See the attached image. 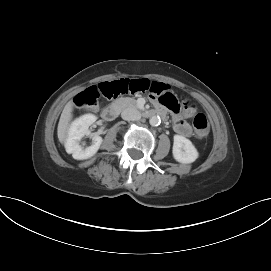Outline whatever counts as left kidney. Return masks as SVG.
I'll return each mask as SVG.
<instances>
[{
    "label": "left kidney",
    "mask_w": 271,
    "mask_h": 271,
    "mask_svg": "<svg viewBox=\"0 0 271 271\" xmlns=\"http://www.w3.org/2000/svg\"><path fill=\"white\" fill-rule=\"evenodd\" d=\"M172 153L176 161L185 164L194 162L199 156L192 142L180 135L174 136Z\"/></svg>",
    "instance_id": "obj_1"
}]
</instances>
